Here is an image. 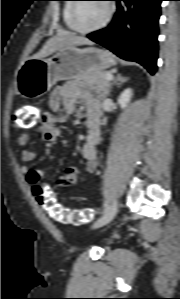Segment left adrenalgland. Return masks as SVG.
<instances>
[{"instance_id": "left-adrenal-gland-1", "label": "left adrenal gland", "mask_w": 180, "mask_h": 299, "mask_svg": "<svg viewBox=\"0 0 180 299\" xmlns=\"http://www.w3.org/2000/svg\"><path fill=\"white\" fill-rule=\"evenodd\" d=\"M127 81H128V78L122 77L121 74H117V76L113 79V82H112L111 86L109 87L107 94L108 95L110 94L113 85H121Z\"/></svg>"}]
</instances>
